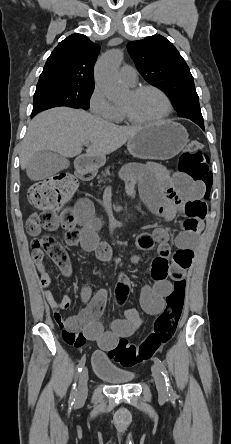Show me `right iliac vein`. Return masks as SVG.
<instances>
[{
	"label": "right iliac vein",
	"mask_w": 231,
	"mask_h": 444,
	"mask_svg": "<svg viewBox=\"0 0 231 444\" xmlns=\"http://www.w3.org/2000/svg\"><path fill=\"white\" fill-rule=\"evenodd\" d=\"M88 379H89L88 369L87 367H84L79 377L78 387L75 396L77 404H82L86 400L88 392V387H87Z\"/></svg>",
	"instance_id": "63e3f726"
}]
</instances>
